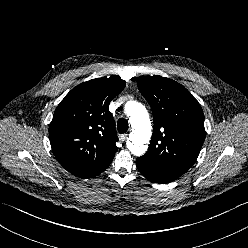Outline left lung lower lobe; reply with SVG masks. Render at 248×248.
Instances as JSON below:
<instances>
[{"instance_id": "0a47b994", "label": "left lung lower lobe", "mask_w": 248, "mask_h": 248, "mask_svg": "<svg viewBox=\"0 0 248 248\" xmlns=\"http://www.w3.org/2000/svg\"><path fill=\"white\" fill-rule=\"evenodd\" d=\"M136 165L140 173L145 176L149 181L154 183H169L171 180L166 178L165 176H162L158 173H154L148 169L147 166L144 165L142 161L139 159L136 160Z\"/></svg>"}]
</instances>
